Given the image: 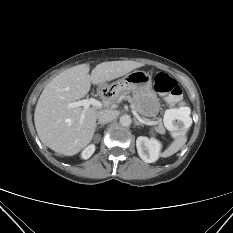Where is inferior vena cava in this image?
<instances>
[{
    "mask_svg": "<svg viewBox=\"0 0 233 233\" xmlns=\"http://www.w3.org/2000/svg\"><path fill=\"white\" fill-rule=\"evenodd\" d=\"M99 123H108L116 118V112L114 110H102L97 115Z\"/></svg>",
    "mask_w": 233,
    "mask_h": 233,
    "instance_id": "1",
    "label": "inferior vena cava"
}]
</instances>
